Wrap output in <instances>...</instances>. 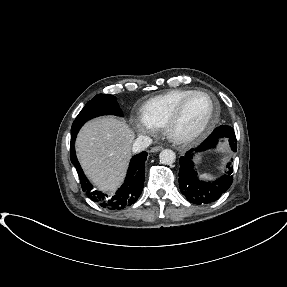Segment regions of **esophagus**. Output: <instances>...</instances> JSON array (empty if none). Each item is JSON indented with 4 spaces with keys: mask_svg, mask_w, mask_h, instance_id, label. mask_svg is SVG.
<instances>
[{
    "mask_svg": "<svg viewBox=\"0 0 287 287\" xmlns=\"http://www.w3.org/2000/svg\"><path fill=\"white\" fill-rule=\"evenodd\" d=\"M163 149V147L162 146H154V147H152L151 149H150V152H158V151H160V150H162Z\"/></svg>",
    "mask_w": 287,
    "mask_h": 287,
    "instance_id": "34e87169",
    "label": "esophagus"
}]
</instances>
